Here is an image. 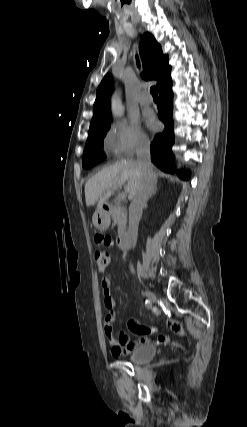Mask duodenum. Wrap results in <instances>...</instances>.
<instances>
[{"mask_svg": "<svg viewBox=\"0 0 247 427\" xmlns=\"http://www.w3.org/2000/svg\"><path fill=\"white\" fill-rule=\"evenodd\" d=\"M117 245L121 250H127L129 247V240L125 234H120L117 238Z\"/></svg>", "mask_w": 247, "mask_h": 427, "instance_id": "410a0bca", "label": "duodenum"}]
</instances>
